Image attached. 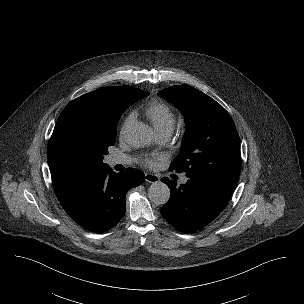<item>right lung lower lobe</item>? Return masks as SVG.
<instances>
[{"label":"right lung lower lobe","instance_id":"1","mask_svg":"<svg viewBox=\"0 0 304 304\" xmlns=\"http://www.w3.org/2000/svg\"><path fill=\"white\" fill-rule=\"evenodd\" d=\"M144 180V174L137 169L127 168L124 173L116 174L105 164L59 200L79 225L102 233L114 227L124 216L127 191Z\"/></svg>","mask_w":304,"mask_h":304}]
</instances>
